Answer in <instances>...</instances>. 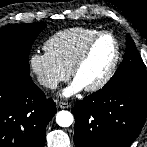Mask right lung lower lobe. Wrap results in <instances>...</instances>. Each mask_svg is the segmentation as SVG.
<instances>
[{
    "mask_svg": "<svg viewBox=\"0 0 147 147\" xmlns=\"http://www.w3.org/2000/svg\"><path fill=\"white\" fill-rule=\"evenodd\" d=\"M55 113V102L30 75L0 67V147H43Z\"/></svg>",
    "mask_w": 147,
    "mask_h": 147,
    "instance_id": "1",
    "label": "right lung lower lobe"
}]
</instances>
